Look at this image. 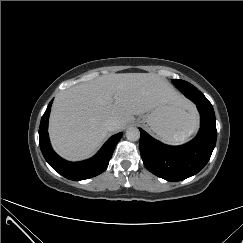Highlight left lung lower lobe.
<instances>
[{
  "instance_id": "left-lung-lower-lobe-1",
  "label": "left lung lower lobe",
  "mask_w": 243,
  "mask_h": 243,
  "mask_svg": "<svg viewBox=\"0 0 243 243\" xmlns=\"http://www.w3.org/2000/svg\"><path fill=\"white\" fill-rule=\"evenodd\" d=\"M178 89L200 112L201 128L196 138L182 146H167L140 128V153L145 167L171 182L197 174L209 161L217 138L215 114L209 100L190 83Z\"/></svg>"
}]
</instances>
